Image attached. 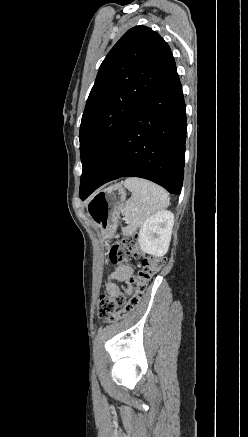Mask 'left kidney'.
<instances>
[{
  "label": "left kidney",
  "instance_id": "left-kidney-1",
  "mask_svg": "<svg viewBox=\"0 0 248 437\" xmlns=\"http://www.w3.org/2000/svg\"><path fill=\"white\" fill-rule=\"evenodd\" d=\"M173 224L174 214L170 211L152 215L139 231L140 249L156 257L164 256L170 245Z\"/></svg>",
  "mask_w": 248,
  "mask_h": 437
}]
</instances>
